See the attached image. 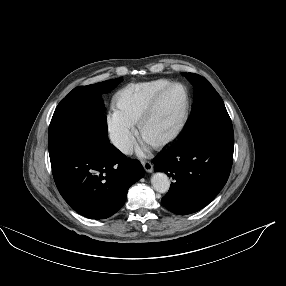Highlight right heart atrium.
<instances>
[{
	"mask_svg": "<svg viewBox=\"0 0 286 286\" xmlns=\"http://www.w3.org/2000/svg\"><path fill=\"white\" fill-rule=\"evenodd\" d=\"M105 120L111 143L123 152L132 149L136 141L135 125L116 108L108 111Z\"/></svg>",
	"mask_w": 286,
	"mask_h": 286,
	"instance_id": "right-heart-atrium-1",
	"label": "right heart atrium"
}]
</instances>
